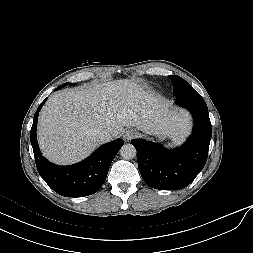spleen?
<instances>
[{
	"label": "spleen",
	"instance_id": "obj_1",
	"mask_svg": "<svg viewBox=\"0 0 253 253\" xmlns=\"http://www.w3.org/2000/svg\"><path fill=\"white\" fill-rule=\"evenodd\" d=\"M188 131L189 128L187 126L181 134L173 138L172 144L174 145L180 144L184 140L185 136L188 134Z\"/></svg>",
	"mask_w": 253,
	"mask_h": 253
}]
</instances>
